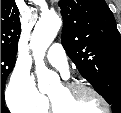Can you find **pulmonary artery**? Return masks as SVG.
I'll return each mask as SVG.
<instances>
[{"label": "pulmonary artery", "instance_id": "1", "mask_svg": "<svg viewBox=\"0 0 121 113\" xmlns=\"http://www.w3.org/2000/svg\"><path fill=\"white\" fill-rule=\"evenodd\" d=\"M47 61L59 70L64 77L69 76V63L66 53L61 45L54 44L46 54Z\"/></svg>", "mask_w": 121, "mask_h": 113}]
</instances>
